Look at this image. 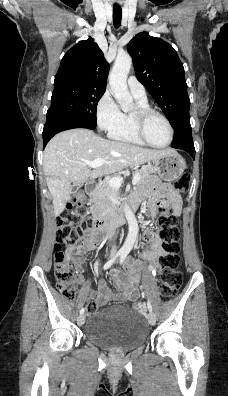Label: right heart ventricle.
<instances>
[{
    "label": "right heart ventricle",
    "instance_id": "1",
    "mask_svg": "<svg viewBox=\"0 0 228 396\" xmlns=\"http://www.w3.org/2000/svg\"><path fill=\"white\" fill-rule=\"evenodd\" d=\"M135 100L137 105L149 107L147 98L135 97ZM109 136L117 141L139 146L145 145L135 132L131 113H123L122 122L117 127L109 131Z\"/></svg>",
    "mask_w": 228,
    "mask_h": 396
}]
</instances>
